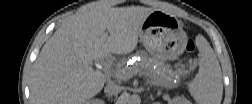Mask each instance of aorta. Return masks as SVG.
Returning a JSON list of instances; mask_svg holds the SVG:
<instances>
[{"label": "aorta", "mask_w": 252, "mask_h": 104, "mask_svg": "<svg viewBox=\"0 0 252 104\" xmlns=\"http://www.w3.org/2000/svg\"><path fill=\"white\" fill-rule=\"evenodd\" d=\"M141 99L138 95H126L125 102L129 104H138L140 103Z\"/></svg>", "instance_id": "762f6f07"}]
</instances>
